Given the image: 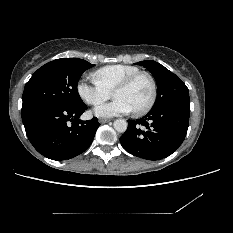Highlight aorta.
<instances>
[{"mask_svg": "<svg viewBox=\"0 0 233 233\" xmlns=\"http://www.w3.org/2000/svg\"><path fill=\"white\" fill-rule=\"evenodd\" d=\"M114 128L117 132L123 133L127 129V122L123 119H117L114 121Z\"/></svg>", "mask_w": 233, "mask_h": 233, "instance_id": "obj_1", "label": "aorta"}]
</instances>
